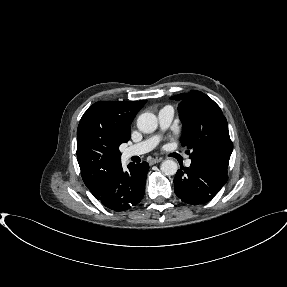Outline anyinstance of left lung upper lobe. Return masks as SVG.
<instances>
[{"label":"left lung upper lobe","instance_id":"5c2ea615","mask_svg":"<svg viewBox=\"0 0 287 287\" xmlns=\"http://www.w3.org/2000/svg\"><path fill=\"white\" fill-rule=\"evenodd\" d=\"M171 98L180 101L178 111L183 124L181 145L191 150L190 158H214L228 162L233 144L220 107L206 94L196 90Z\"/></svg>","mask_w":287,"mask_h":287}]
</instances>
